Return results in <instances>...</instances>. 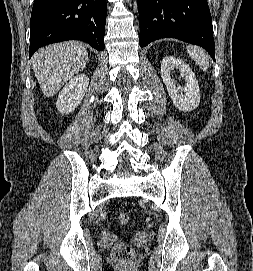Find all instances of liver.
I'll use <instances>...</instances> for the list:
<instances>
[{"label": "liver", "instance_id": "liver-1", "mask_svg": "<svg viewBox=\"0 0 253 271\" xmlns=\"http://www.w3.org/2000/svg\"><path fill=\"white\" fill-rule=\"evenodd\" d=\"M87 63L88 52L77 41L42 48L32 60L35 76L47 97L56 94L74 74L83 70Z\"/></svg>", "mask_w": 253, "mask_h": 271}]
</instances>
